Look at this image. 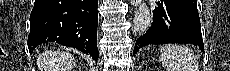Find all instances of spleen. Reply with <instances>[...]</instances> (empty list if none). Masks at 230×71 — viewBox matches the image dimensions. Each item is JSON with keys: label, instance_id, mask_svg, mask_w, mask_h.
Returning a JSON list of instances; mask_svg holds the SVG:
<instances>
[{"label": "spleen", "instance_id": "3e777b00", "mask_svg": "<svg viewBox=\"0 0 230 71\" xmlns=\"http://www.w3.org/2000/svg\"><path fill=\"white\" fill-rule=\"evenodd\" d=\"M160 62L165 71H198L192 51L182 45L167 44L160 49Z\"/></svg>", "mask_w": 230, "mask_h": 71}]
</instances>
